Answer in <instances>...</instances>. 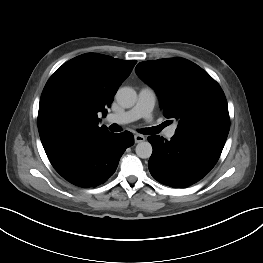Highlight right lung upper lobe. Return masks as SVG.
I'll return each mask as SVG.
<instances>
[{
  "label": "right lung upper lobe",
  "instance_id": "obj_1",
  "mask_svg": "<svg viewBox=\"0 0 263 263\" xmlns=\"http://www.w3.org/2000/svg\"><path fill=\"white\" fill-rule=\"evenodd\" d=\"M135 60L87 53L64 63L48 80L41 95L38 130L43 147L99 127L98 115L106 108Z\"/></svg>",
  "mask_w": 263,
  "mask_h": 263
}]
</instances>
